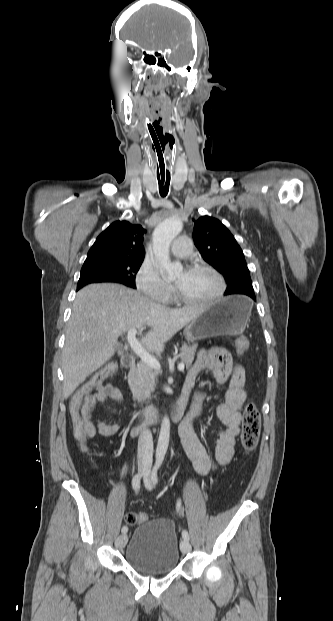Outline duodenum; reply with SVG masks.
Returning a JSON list of instances; mask_svg holds the SVG:
<instances>
[{
	"instance_id": "1",
	"label": "duodenum",
	"mask_w": 333,
	"mask_h": 621,
	"mask_svg": "<svg viewBox=\"0 0 333 621\" xmlns=\"http://www.w3.org/2000/svg\"><path fill=\"white\" fill-rule=\"evenodd\" d=\"M121 363L123 367L127 369H133L135 367V357L133 355L127 354L122 357ZM191 386L189 384H184L182 389L181 396L177 405H175L169 412V416L173 421H177L183 417V406L187 400L188 394L190 392ZM163 417V412L157 408H149L147 409L140 417V421L132 426L131 435H136L143 428L158 423ZM192 418L189 415H186L182 424L190 421Z\"/></svg>"
}]
</instances>
